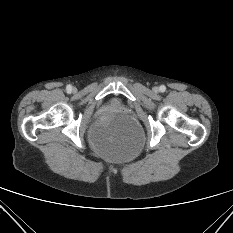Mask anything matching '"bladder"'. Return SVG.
<instances>
[{
  "label": "bladder",
  "mask_w": 233,
  "mask_h": 233,
  "mask_svg": "<svg viewBox=\"0 0 233 233\" xmlns=\"http://www.w3.org/2000/svg\"><path fill=\"white\" fill-rule=\"evenodd\" d=\"M95 149L104 157L114 159H128L135 155L137 146L129 142H121L96 132L92 136Z\"/></svg>",
  "instance_id": "bladder-1"
}]
</instances>
